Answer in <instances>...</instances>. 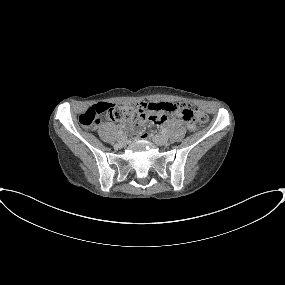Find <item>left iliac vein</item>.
Returning a JSON list of instances; mask_svg holds the SVG:
<instances>
[{"mask_svg":"<svg viewBox=\"0 0 285 285\" xmlns=\"http://www.w3.org/2000/svg\"><path fill=\"white\" fill-rule=\"evenodd\" d=\"M153 141L160 146L166 145L168 143V138L165 135H155L152 137Z\"/></svg>","mask_w":285,"mask_h":285,"instance_id":"4c4485c4","label":"left iliac vein"}]
</instances>
